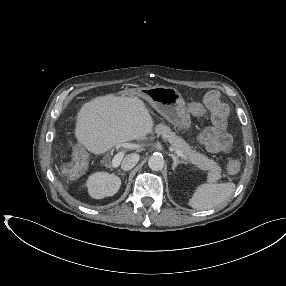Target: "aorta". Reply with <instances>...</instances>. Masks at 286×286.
Wrapping results in <instances>:
<instances>
[{"mask_svg": "<svg viewBox=\"0 0 286 286\" xmlns=\"http://www.w3.org/2000/svg\"><path fill=\"white\" fill-rule=\"evenodd\" d=\"M165 161L161 155H152L148 160V166L153 171H160L164 168Z\"/></svg>", "mask_w": 286, "mask_h": 286, "instance_id": "obj_1", "label": "aorta"}]
</instances>
